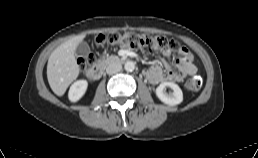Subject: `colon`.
<instances>
[{"label": "colon", "mask_w": 258, "mask_h": 158, "mask_svg": "<svg viewBox=\"0 0 258 158\" xmlns=\"http://www.w3.org/2000/svg\"><path fill=\"white\" fill-rule=\"evenodd\" d=\"M97 42L101 45H119L128 49H140L142 51L179 52L181 46L173 39L162 35L139 34L134 32L110 33L99 35ZM94 57L89 55L82 59L81 65L86 67L92 64ZM185 89L195 93L201 89L200 76H192L185 81Z\"/></svg>", "instance_id": "obj_1"}]
</instances>
